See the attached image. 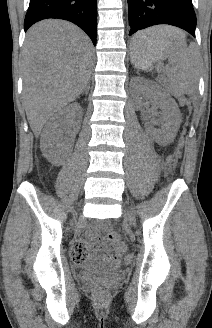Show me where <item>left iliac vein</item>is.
I'll return each mask as SVG.
<instances>
[{
	"label": "left iliac vein",
	"mask_w": 212,
	"mask_h": 328,
	"mask_svg": "<svg viewBox=\"0 0 212 328\" xmlns=\"http://www.w3.org/2000/svg\"><path fill=\"white\" fill-rule=\"evenodd\" d=\"M125 219L128 220L131 224H135V217L129 210L124 211Z\"/></svg>",
	"instance_id": "left-iliac-vein-1"
}]
</instances>
